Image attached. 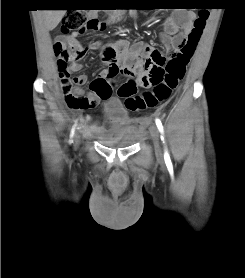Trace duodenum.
<instances>
[{
    "instance_id": "410a0bca",
    "label": "duodenum",
    "mask_w": 245,
    "mask_h": 278,
    "mask_svg": "<svg viewBox=\"0 0 245 278\" xmlns=\"http://www.w3.org/2000/svg\"><path fill=\"white\" fill-rule=\"evenodd\" d=\"M117 18H112L111 21H115Z\"/></svg>"
}]
</instances>
